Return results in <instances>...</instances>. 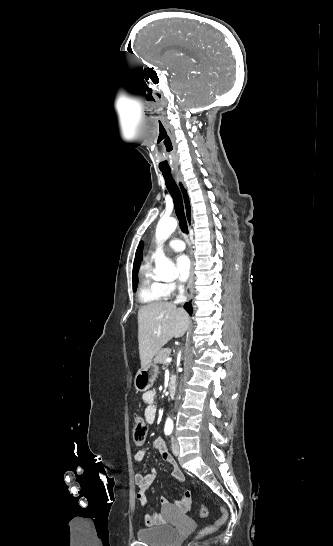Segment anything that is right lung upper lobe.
Instances as JSON below:
<instances>
[{"mask_svg":"<svg viewBox=\"0 0 333 546\" xmlns=\"http://www.w3.org/2000/svg\"><path fill=\"white\" fill-rule=\"evenodd\" d=\"M142 253H143V243L141 242L137 248V251H136V258L134 260V263H137L139 265V263L141 262L142 260ZM139 269V267H138ZM135 283V280L133 279V284Z\"/></svg>","mask_w":333,"mask_h":546,"instance_id":"obj_1","label":"right lung upper lobe"}]
</instances>
